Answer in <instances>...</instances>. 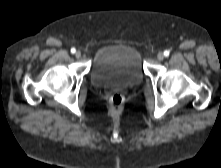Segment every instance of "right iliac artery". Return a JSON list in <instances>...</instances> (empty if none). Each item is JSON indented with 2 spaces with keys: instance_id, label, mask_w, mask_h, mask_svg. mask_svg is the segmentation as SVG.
Returning <instances> with one entry per match:
<instances>
[{
  "instance_id": "1",
  "label": "right iliac artery",
  "mask_w": 221,
  "mask_h": 168,
  "mask_svg": "<svg viewBox=\"0 0 221 168\" xmlns=\"http://www.w3.org/2000/svg\"><path fill=\"white\" fill-rule=\"evenodd\" d=\"M76 49L75 48H71V53H75Z\"/></svg>"
}]
</instances>
